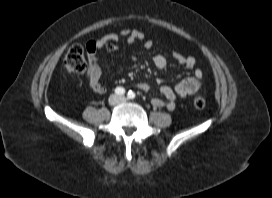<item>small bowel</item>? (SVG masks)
Instances as JSON below:
<instances>
[{
  "label": "small bowel",
  "instance_id": "small-bowel-1",
  "mask_svg": "<svg viewBox=\"0 0 272 198\" xmlns=\"http://www.w3.org/2000/svg\"><path fill=\"white\" fill-rule=\"evenodd\" d=\"M121 37L127 38L130 43L143 41L145 38L144 33L139 30L122 29L118 33H111L97 39L89 40L86 43L88 61L86 78L89 87L96 94H104L107 91V87L101 82V69L97 61V53L103 48H107L111 52L115 51L116 44ZM144 47L146 49H152L154 47L153 41H144ZM172 56L179 65L187 69H193V74L181 80L175 87L162 86L160 93L164 96L165 100L160 98H153L151 100L153 106L165 108L170 111L175 108L177 97L196 95L200 90L203 80V72L200 68H195L196 60L193 56L178 52H173ZM153 63L159 70H165L168 66V60L163 54L155 55ZM136 87L141 91H147L149 89V85L144 82L137 83Z\"/></svg>",
  "mask_w": 272,
  "mask_h": 198
}]
</instances>
